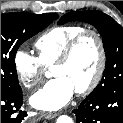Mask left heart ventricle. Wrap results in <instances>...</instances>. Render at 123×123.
<instances>
[{
	"label": "left heart ventricle",
	"mask_w": 123,
	"mask_h": 123,
	"mask_svg": "<svg viewBox=\"0 0 123 123\" xmlns=\"http://www.w3.org/2000/svg\"><path fill=\"white\" fill-rule=\"evenodd\" d=\"M98 64V47L96 41L85 37L76 48L67 64L55 66L52 74L70 81L75 90L84 87L93 77Z\"/></svg>",
	"instance_id": "1"
}]
</instances>
